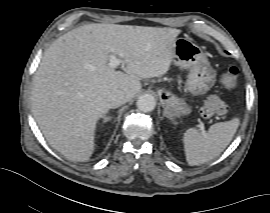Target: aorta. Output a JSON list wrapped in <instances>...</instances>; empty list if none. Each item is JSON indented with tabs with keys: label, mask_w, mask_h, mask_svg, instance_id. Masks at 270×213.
<instances>
[{
	"label": "aorta",
	"mask_w": 270,
	"mask_h": 213,
	"mask_svg": "<svg viewBox=\"0 0 270 213\" xmlns=\"http://www.w3.org/2000/svg\"><path fill=\"white\" fill-rule=\"evenodd\" d=\"M136 105L140 111L151 112L156 106V100L151 94H143L139 96Z\"/></svg>",
	"instance_id": "762f6f07"
}]
</instances>
